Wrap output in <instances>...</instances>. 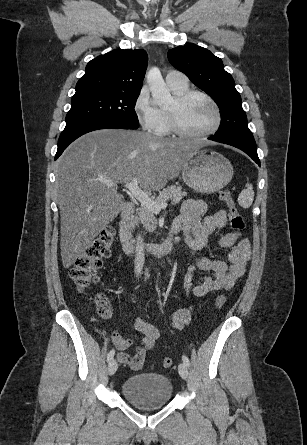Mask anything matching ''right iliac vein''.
Here are the masks:
<instances>
[{
  "mask_svg": "<svg viewBox=\"0 0 307 445\" xmlns=\"http://www.w3.org/2000/svg\"><path fill=\"white\" fill-rule=\"evenodd\" d=\"M117 368H118L117 361L115 359H112L108 365L109 375H113L116 372Z\"/></svg>",
  "mask_w": 307,
  "mask_h": 445,
  "instance_id": "obj_1",
  "label": "right iliac vein"
}]
</instances>
